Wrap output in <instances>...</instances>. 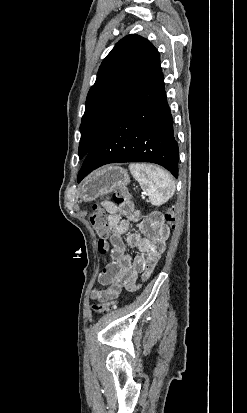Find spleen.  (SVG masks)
<instances>
[{
  "instance_id": "1",
  "label": "spleen",
  "mask_w": 247,
  "mask_h": 413,
  "mask_svg": "<svg viewBox=\"0 0 247 413\" xmlns=\"http://www.w3.org/2000/svg\"><path fill=\"white\" fill-rule=\"evenodd\" d=\"M130 172L137 178L142 190L149 192L151 204H164L175 192V182L168 170L156 166L153 170L145 168L143 162L129 164Z\"/></svg>"
}]
</instances>
